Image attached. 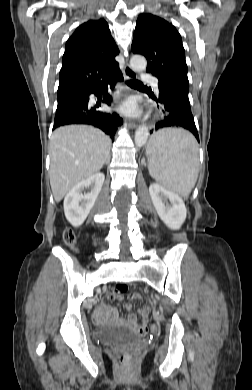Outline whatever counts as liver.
Returning a JSON list of instances; mask_svg holds the SVG:
<instances>
[{
  "label": "liver",
  "instance_id": "6515ba94",
  "mask_svg": "<svg viewBox=\"0 0 252 390\" xmlns=\"http://www.w3.org/2000/svg\"><path fill=\"white\" fill-rule=\"evenodd\" d=\"M110 138L87 125L56 129L50 140V185L56 202L79 182L98 173L109 159Z\"/></svg>",
  "mask_w": 252,
  "mask_h": 390
}]
</instances>
